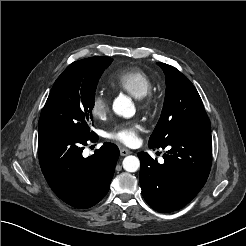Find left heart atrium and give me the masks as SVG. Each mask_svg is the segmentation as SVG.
Segmentation results:
<instances>
[{
    "mask_svg": "<svg viewBox=\"0 0 246 246\" xmlns=\"http://www.w3.org/2000/svg\"><path fill=\"white\" fill-rule=\"evenodd\" d=\"M139 129L140 125L137 123H124L122 125L117 126L114 130L109 132L107 136L110 139L119 141L124 145L132 146L135 145L139 140Z\"/></svg>",
    "mask_w": 246,
    "mask_h": 246,
    "instance_id": "left-heart-atrium-1",
    "label": "left heart atrium"
}]
</instances>
